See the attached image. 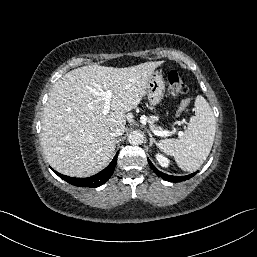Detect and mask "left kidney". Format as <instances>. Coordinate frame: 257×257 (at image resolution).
Returning a JSON list of instances; mask_svg holds the SVG:
<instances>
[{
  "label": "left kidney",
  "mask_w": 257,
  "mask_h": 257,
  "mask_svg": "<svg viewBox=\"0 0 257 257\" xmlns=\"http://www.w3.org/2000/svg\"><path fill=\"white\" fill-rule=\"evenodd\" d=\"M155 158L160 166L165 168L169 166L170 161L162 154L156 153Z\"/></svg>",
  "instance_id": "obj_1"
}]
</instances>
